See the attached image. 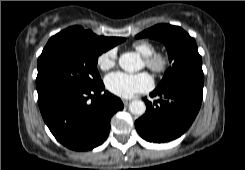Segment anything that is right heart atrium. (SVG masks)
I'll list each match as a JSON object with an SVG mask.
<instances>
[{
    "label": "right heart atrium",
    "instance_id": "d8ad5b80",
    "mask_svg": "<svg viewBox=\"0 0 245 170\" xmlns=\"http://www.w3.org/2000/svg\"><path fill=\"white\" fill-rule=\"evenodd\" d=\"M117 58V51L113 48L109 49L98 56L97 66L103 71L109 70L115 66Z\"/></svg>",
    "mask_w": 245,
    "mask_h": 170
}]
</instances>
